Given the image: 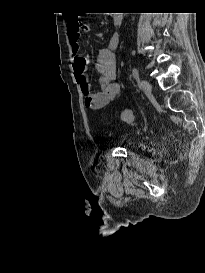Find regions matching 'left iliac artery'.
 Segmentation results:
<instances>
[{"instance_id":"obj_1","label":"left iliac artery","mask_w":205,"mask_h":273,"mask_svg":"<svg viewBox=\"0 0 205 273\" xmlns=\"http://www.w3.org/2000/svg\"><path fill=\"white\" fill-rule=\"evenodd\" d=\"M132 74H133L134 79H136V80L139 79V72H138V69L136 67L133 68Z\"/></svg>"}]
</instances>
